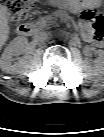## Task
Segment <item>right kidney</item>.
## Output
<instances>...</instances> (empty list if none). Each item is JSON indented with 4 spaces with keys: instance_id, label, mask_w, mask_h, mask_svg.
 I'll use <instances>...</instances> for the list:
<instances>
[{
    "instance_id": "right-kidney-1",
    "label": "right kidney",
    "mask_w": 104,
    "mask_h": 137,
    "mask_svg": "<svg viewBox=\"0 0 104 137\" xmlns=\"http://www.w3.org/2000/svg\"><path fill=\"white\" fill-rule=\"evenodd\" d=\"M27 42V38L18 36L9 43L0 58V68L3 72L9 74H18L27 68L30 61L29 57H24L19 62L12 64L13 57L22 53L27 45Z\"/></svg>"
}]
</instances>
